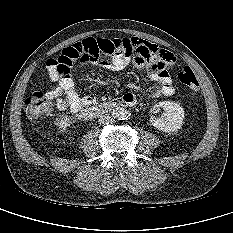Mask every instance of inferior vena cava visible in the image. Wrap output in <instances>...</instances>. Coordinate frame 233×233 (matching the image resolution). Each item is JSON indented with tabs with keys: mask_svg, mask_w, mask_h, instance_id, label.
<instances>
[{
	"mask_svg": "<svg viewBox=\"0 0 233 233\" xmlns=\"http://www.w3.org/2000/svg\"><path fill=\"white\" fill-rule=\"evenodd\" d=\"M98 122L101 125H109L114 122V119L110 115H101Z\"/></svg>",
	"mask_w": 233,
	"mask_h": 233,
	"instance_id": "inferior-vena-cava-1",
	"label": "inferior vena cava"
}]
</instances>
